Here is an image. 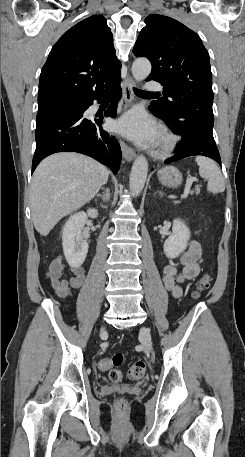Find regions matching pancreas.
Masks as SVG:
<instances>
[{
	"label": "pancreas",
	"mask_w": 245,
	"mask_h": 457,
	"mask_svg": "<svg viewBox=\"0 0 245 457\" xmlns=\"http://www.w3.org/2000/svg\"><path fill=\"white\" fill-rule=\"evenodd\" d=\"M195 192H196V194H199V192H200V188H199V186H196V188H195Z\"/></svg>",
	"instance_id": "pancreas-1"
}]
</instances>
